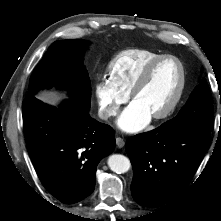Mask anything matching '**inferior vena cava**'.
Wrapping results in <instances>:
<instances>
[{
  "label": "inferior vena cava",
  "instance_id": "obj_1",
  "mask_svg": "<svg viewBox=\"0 0 221 221\" xmlns=\"http://www.w3.org/2000/svg\"><path fill=\"white\" fill-rule=\"evenodd\" d=\"M115 114H116V109L115 108H104V109H100L98 111L99 118H101L103 120H106L110 116L115 115Z\"/></svg>",
  "mask_w": 221,
  "mask_h": 221
}]
</instances>
